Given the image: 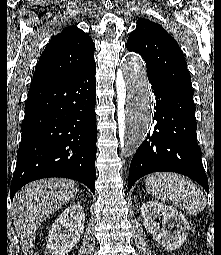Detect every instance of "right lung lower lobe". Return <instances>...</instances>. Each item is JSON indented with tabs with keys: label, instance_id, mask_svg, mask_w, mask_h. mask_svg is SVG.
Here are the masks:
<instances>
[{
	"label": "right lung lower lobe",
	"instance_id": "1",
	"mask_svg": "<svg viewBox=\"0 0 221 255\" xmlns=\"http://www.w3.org/2000/svg\"><path fill=\"white\" fill-rule=\"evenodd\" d=\"M96 64L53 83L30 88L10 198L47 177L84 183L95 193Z\"/></svg>",
	"mask_w": 221,
	"mask_h": 255
}]
</instances>
